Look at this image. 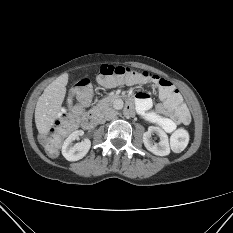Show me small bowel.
Returning a JSON list of instances; mask_svg holds the SVG:
<instances>
[{"label":"small bowel","instance_id":"1","mask_svg":"<svg viewBox=\"0 0 233 233\" xmlns=\"http://www.w3.org/2000/svg\"><path fill=\"white\" fill-rule=\"evenodd\" d=\"M138 83H148V81H140ZM137 83V84H138ZM132 85V84H129ZM161 102L152 109V100L146 93L139 92L136 94V107L139 114H141L147 121L158 125L162 130L167 133H172L177 125H187L190 121V115L187 107L185 106V119L177 121L173 117L174 108L170 103L160 98ZM89 101L84 104L86 107Z\"/></svg>","mask_w":233,"mask_h":233}]
</instances>
